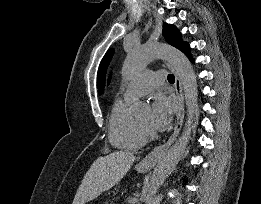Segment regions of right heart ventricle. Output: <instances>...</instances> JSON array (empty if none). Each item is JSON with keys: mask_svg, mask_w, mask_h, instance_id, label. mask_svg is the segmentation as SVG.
I'll use <instances>...</instances> for the list:
<instances>
[{"mask_svg": "<svg viewBox=\"0 0 261 204\" xmlns=\"http://www.w3.org/2000/svg\"><path fill=\"white\" fill-rule=\"evenodd\" d=\"M131 104V99L115 100L109 116V141L118 149L135 152L145 144L146 138L131 115Z\"/></svg>", "mask_w": 261, "mask_h": 204, "instance_id": "obj_1", "label": "right heart ventricle"}]
</instances>
